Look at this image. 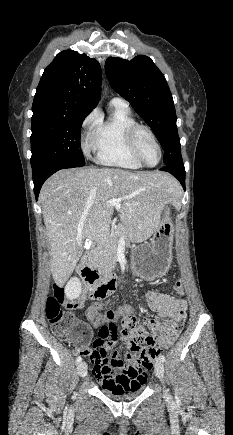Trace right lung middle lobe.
Listing matches in <instances>:
<instances>
[{
    "label": "right lung middle lobe",
    "mask_w": 233,
    "mask_h": 435,
    "mask_svg": "<svg viewBox=\"0 0 233 435\" xmlns=\"http://www.w3.org/2000/svg\"><path fill=\"white\" fill-rule=\"evenodd\" d=\"M87 115H43L32 117L31 166L46 162H65L75 167L85 165L80 132Z\"/></svg>",
    "instance_id": "right-lung-middle-lobe-1"
}]
</instances>
